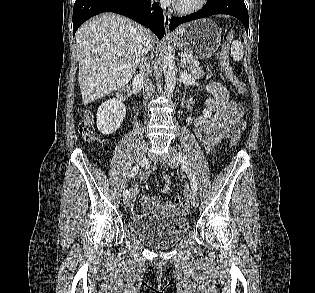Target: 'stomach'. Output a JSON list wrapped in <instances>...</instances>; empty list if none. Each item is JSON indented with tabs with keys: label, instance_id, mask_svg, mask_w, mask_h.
Here are the masks:
<instances>
[{
	"label": "stomach",
	"instance_id": "obj_1",
	"mask_svg": "<svg viewBox=\"0 0 315 293\" xmlns=\"http://www.w3.org/2000/svg\"><path fill=\"white\" fill-rule=\"evenodd\" d=\"M174 44L195 59L210 58L218 50L221 29L209 19L184 24L172 34Z\"/></svg>",
	"mask_w": 315,
	"mask_h": 293
}]
</instances>
